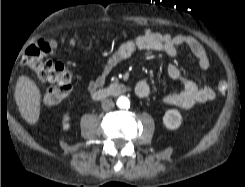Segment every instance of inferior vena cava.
Segmentation results:
<instances>
[{
    "label": "inferior vena cava",
    "instance_id": "inferior-vena-cava-1",
    "mask_svg": "<svg viewBox=\"0 0 245 187\" xmlns=\"http://www.w3.org/2000/svg\"><path fill=\"white\" fill-rule=\"evenodd\" d=\"M101 106L103 110L108 111L114 108V102L110 99H107L102 102Z\"/></svg>",
    "mask_w": 245,
    "mask_h": 187
}]
</instances>
